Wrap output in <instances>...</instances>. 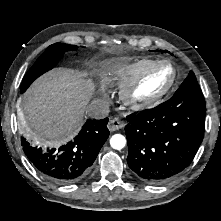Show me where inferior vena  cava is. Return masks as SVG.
Masks as SVG:
<instances>
[{
  "instance_id": "obj_1",
  "label": "inferior vena cava",
  "mask_w": 221,
  "mask_h": 221,
  "mask_svg": "<svg viewBox=\"0 0 221 221\" xmlns=\"http://www.w3.org/2000/svg\"><path fill=\"white\" fill-rule=\"evenodd\" d=\"M86 112L93 119H103L109 114V103L101 99L93 100Z\"/></svg>"
}]
</instances>
